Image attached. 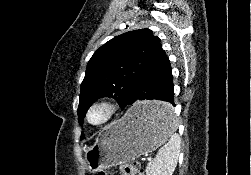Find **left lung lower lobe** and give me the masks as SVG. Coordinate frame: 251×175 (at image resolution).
Masks as SVG:
<instances>
[{
    "label": "left lung lower lobe",
    "mask_w": 251,
    "mask_h": 175,
    "mask_svg": "<svg viewBox=\"0 0 251 175\" xmlns=\"http://www.w3.org/2000/svg\"><path fill=\"white\" fill-rule=\"evenodd\" d=\"M172 68L166 54L137 82L129 99L121 105L122 110L129 108L138 100H160L166 103L136 106L131 109L133 118L149 122H165L172 118L174 85ZM172 106H171V105Z\"/></svg>",
    "instance_id": "obj_1"
}]
</instances>
